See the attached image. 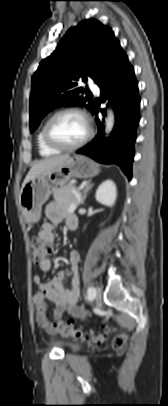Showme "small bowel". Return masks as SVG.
Wrapping results in <instances>:
<instances>
[{"label":"small bowel","mask_w":168,"mask_h":406,"mask_svg":"<svg viewBox=\"0 0 168 406\" xmlns=\"http://www.w3.org/2000/svg\"><path fill=\"white\" fill-rule=\"evenodd\" d=\"M48 222L42 225L38 233L40 239L46 243L55 241V228L65 220L66 225L71 221H76V215L69 209H63L57 202L50 203L45 210ZM80 255L77 251H71L69 254L68 270H61L55 274L50 282H43L39 274L33 276V282L38 286V291L34 295L35 318L40 327L48 333L54 334L56 330L47 317L48 302L55 304L53 316L54 319H61L65 311L77 319H84L87 315L86 309L79 304V275L78 264ZM52 262L48 259L40 265L42 271L50 270ZM70 272L71 281L70 287L66 288L63 285L64 278Z\"/></svg>","instance_id":"c3829d8e"}]
</instances>
